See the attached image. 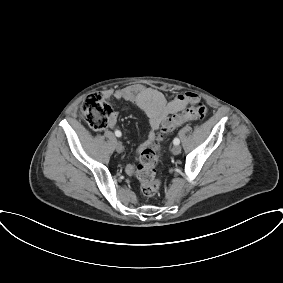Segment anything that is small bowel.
Returning <instances> with one entry per match:
<instances>
[{
    "label": "small bowel",
    "instance_id": "small-bowel-1",
    "mask_svg": "<svg viewBox=\"0 0 283 283\" xmlns=\"http://www.w3.org/2000/svg\"><path fill=\"white\" fill-rule=\"evenodd\" d=\"M104 97L108 100H124L139 107L148 117L150 132L147 140L138 147V152L147 148L155 140V131L162 121L170 114L181 111L189 103L199 101V96L193 92L178 94L174 99L167 100L162 92L157 89L147 88L141 85L129 86L116 91H105ZM118 112L113 111L108 123L110 129L117 128ZM129 175L135 173V165L126 167Z\"/></svg>",
    "mask_w": 283,
    "mask_h": 283
}]
</instances>
